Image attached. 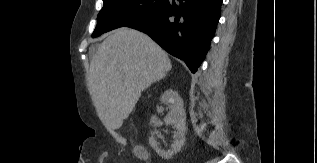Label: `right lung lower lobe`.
<instances>
[{
	"label": "right lung lower lobe",
	"instance_id": "1",
	"mask_svg": "<svg viewBox=\"0 0 317 163\" xmlns=\"http://www.w3.org/2000/svg\"><path fill=\"white\" fill-rule=\"evenodd\" d=\"M223 0H167L125 27L148 34L192 73L204 60L220 18Z\"/></svg>",
	"mask_w": 317,
	"mask_h": 163
}]
</instances>
